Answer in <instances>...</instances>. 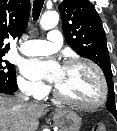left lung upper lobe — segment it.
Segmentation results:
<instances>
[{
  "label": "left lung upper lobe",
  "mask_w": 117,
  "mask_h": 131,
  "mask_svg": "<svg viewBox=\"0 0 117 131\" xmlns=\"http://www.w3.org/2000/svg\"><path fill=\"white\" fill-rule=\"evenodd\" d=\"M58 9L68 45L80 56L97 63L103 70L108 84L106 107L117 120L106 35L98 13L88 0H63Z\"/></svg>",
  "instance_id": "left-lung-upper-lobe-1"
}]
</instances>
